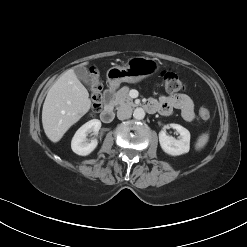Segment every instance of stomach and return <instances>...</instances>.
I'll return each mask as SVG.
<instances>
[{
  "mask_svg": "<svg viewBox=\"0 0 247 247\" xmlns=\"http://www.w3.org/2000/svg\"><path fill=\"white\" fill-rule=\"evenodd\" d=\"M158 70V63L154 59L137 56L129 58L126 66L110 68L106 76L111 86H118L122 82L137 83Z\"/></svg>",
  "mask_w": 247,
  "mask_h": 247,
  "instance_id": "1",
  "label": "stomach"
}]
</instances>
